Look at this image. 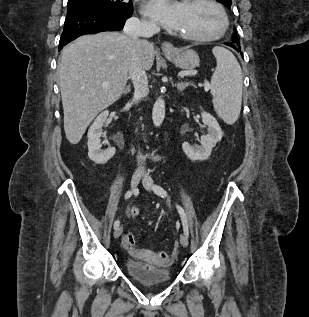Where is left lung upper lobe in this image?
<instances>
[{
    "label": "left lung upper lobe",
    "instance_id": "5c2ea615",
    "mask_svg": "<svg viewBox=\"0 0 309 317\" xmlns=\"http://www.w3.org/2000/svg\"><path fill=\"white\" fill-rule=\"evenodd\" d=\"M217 1L221 2L223 5H225L229 9L231 8V5H232L231 1L232 0H217ZM232 41L234 43H236L237 45L240 43V40L238 38V35H237L236 31H235V33H234V35L232 37Z\"/></svg>",
    "mask_w": 309,
    "mask_h": 317
}]
</instances>
